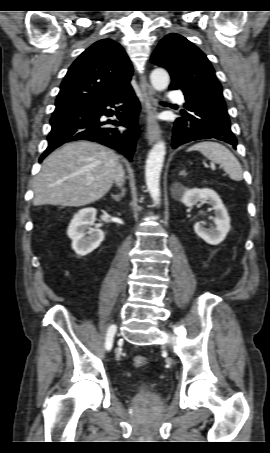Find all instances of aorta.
Segmentation results:
<instances>
[{
    "mask_svg": "<svg viewBox=\"0 0 270 453\" xmlns=\"http://www.w3.org/2000/svg\"><path fill=\"white\" fill-rule=\"evenodd\" d=\"M150 81L156 91H163L169 85V74L162 68H156L150 75ZM165 154V142L160 140L152 147L146 160L145 180L148 191L155 205L160 204V175Z\"/></svg>",
    "mask_w": 270,
    "mask_h": 453,
    "instance_id": "aorta-1",
    "label": "aorta"
}]
</instances>
